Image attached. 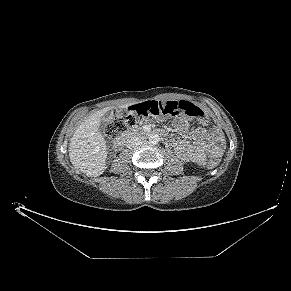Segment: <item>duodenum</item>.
<instances>
[{
	"label": "duodenum",
	"mask_w": 291,
	"mask_h": 291,
	"mask_svg": "<svg viewBox=\"0 0 291 291\" xmlns=\"http://www.w3.org/2000/svg\"><path fill=\"white\" fill-rule=\"evenodd\" d=\"M137 134V132H131V133H129V134H126V135H123V136H121V137H119L118 139H116V141L114 142V148L116 149V150H120V149H122L124 146H125V144L127 143V141L129 140V139H131L132 137H134L135 135Z\"/></svg>",
	"instance_id": "410a0bca"
}]
</instances>
